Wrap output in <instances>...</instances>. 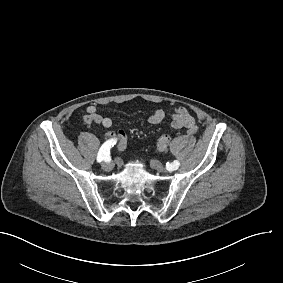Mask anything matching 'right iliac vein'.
I'll return each mask as SVG.
<instances>
[{"label": "right iliac vein", "instance_id": "63e3f726", "mask_svg": "<svg viewBox=\"0 0 283 283\" xmlns=\"http://www.w3.org/2000/svg\"><path fill=\"white\" fill-rule=\"evenodd\" d=\"M112 168H113V163L104 162V163L102 164V169H103L104 171H110V170H112Z\"/></svg>", "mask_w": 283, "mask_h": 283}]
</instances>
